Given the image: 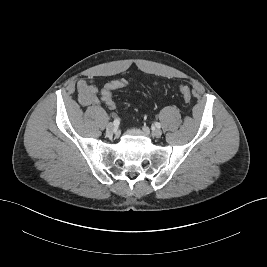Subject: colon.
<instances>
[{"label": "colon", "mask_w": 267, "mask_h": 267, "mask_svg": "<svg viewBox=\"0 0 267 267\" xmlns=\"http://www.w3.org/2000/svg\"><path fill=\"white\" fill-rule=\"evenodd\" d=\"M129 83L126 80H113L108 82L101 91V98L110 108H114L115 104L112 100V93L119 89L128 86ZM179 90L184 100L189 103L191 101V91L187 86L181 85Z\"/></svg>", "instance_id": "colon-1"}]
</instances>
